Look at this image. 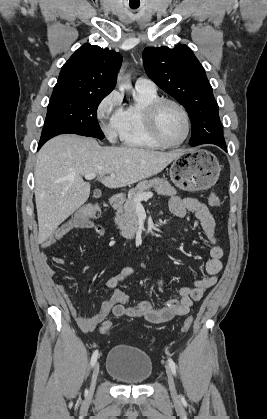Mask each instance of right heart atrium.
<instances>
[{"instance_id":"obj_1","label":"right heart atrium","mask_w":267,"mask_h":419,"mask_svg":"<svg viewBox=\"0 0 267 419\" xmlns=\"http://www.w3.org/2000/svg\"><path fill=\"white\" fill-rule=\"evenodd\" d=\"M121 97L118 92L107 94L96 108V117L102 132L110 141L119 136Z\"/></svg>"}]
</instances>
